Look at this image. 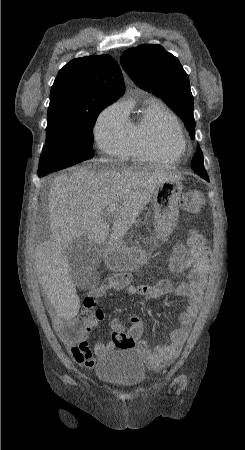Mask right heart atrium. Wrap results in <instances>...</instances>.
<instances>
[{"label":"right heart atrium","instance_id":"obj_1","mask_svg":"<svg viewBox=\"0 0 245 450\" xmlns=\"http://www.w3.org/2000/svg\"><path fill=\"white\" fill-rule=\"evenodd\" d=\"M94 137L107 156L122 159L128 155L129 121L122 103H115L101 112L94 126Z\"/></svg>","mask_w":245,"mask_h":450}]
</instances>
